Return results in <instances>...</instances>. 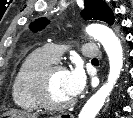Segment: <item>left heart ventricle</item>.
<instances>
[{
  "instance_id": "obj_1",
  "label": "left heart ventricle",
  "mask_w": 133,
  "mask_h": 118,
  "mask_svg": "<svg viewBox=\"0 0 133 118\" xmlns=\"http://www.w3.org/2000/svg\"><path fill=\"white\" fill-rule=\"evenodd\" d=\"M66 71L56 69L50 77L49 95L53 102L61 104L72 100L65 87Z\"/></svg>"
}]
</instances>
